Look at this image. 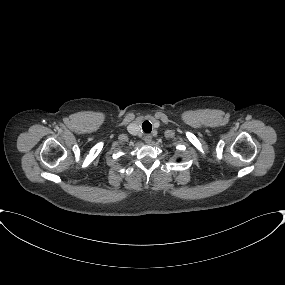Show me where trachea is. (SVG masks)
Wrapping results in <instances>:
<instances>
[{"label": "trachea", "instance_id": "1", "mask_svg": "<svg viewBox=\"0 0 285 285\" xmlns=\"http://www.w3.org/2000/svg\"><path fill=\"white\" fill-rule=\"evenodd\" d=\"M142 129L145 133H150L152 130V125L149 121H144L142 124Z\"/></svg>", "mask_w": 285, "mask_h": 285}]
</instances>
